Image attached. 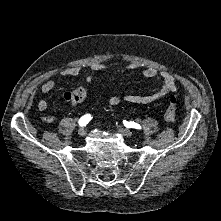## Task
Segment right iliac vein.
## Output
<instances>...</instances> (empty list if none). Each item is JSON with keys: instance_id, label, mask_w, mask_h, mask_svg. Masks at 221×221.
Instances as JSON below:
<instances>
[{"instance_id": "obj_1", "label": "right iliac vein", "mask_w": 221, "mask_h": 221, "mask_svg": "<svg viewBox=\"0 0 221 221\" xmlns=\"http://www.w3.org/2000/svg\"><path fill=\"white\" fill-rule=\"evenodd\" d=\"M78 134H79V136L83 137L86 135V130L84 128H80L78 130Z\"/></svg>"}]
</instances>
